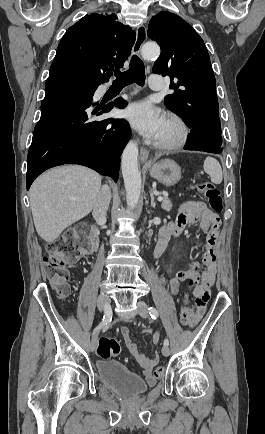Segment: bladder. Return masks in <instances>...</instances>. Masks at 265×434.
<instances>
[{
  "label": "bladder",
  "mask_w": 265,
  "mask_h": 434,
  "mask_svg": "<svg viewBox=\"0 0 265 434\" xmlns=\"http://www.w3.org/2000/svg\"><path fill=\"white\" fill-rule=\"evenodd\" d=\"M96 368L100 379L123 398L134 399L148 390L143 379L117 360H99Z\"/></svg>",
  "instance_id": "bladder-1"
}]
</instances>
